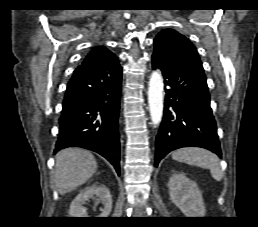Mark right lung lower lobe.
<instances>
[{
  "label": "right lung lower lobe",
  "instance_id": "98d812e1",
  "mask_svg": "<svg viewBox=\"0 0 258 227\" xmlns=\"http://www.w3.org/2000/svg\"><path fill=\"white\" fill-rule=\"evenodd\" d=\"M121 79L122 69L114 54L75 70L67 85L54 153L83 147L105 157L120 175Z\"/></svg>",
  "mask_w": 258,
  "mask_h": 227
}]
</instances>
